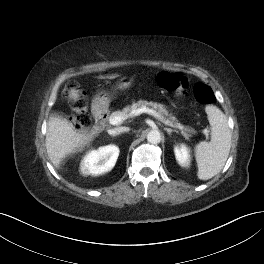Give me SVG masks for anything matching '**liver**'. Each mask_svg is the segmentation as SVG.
Listing matches in <instances>:
<instances>
[{
    "instance_id": "liver-1",
    "label": "liver",
    "mask_w": 264,
    "mask_h": 264,
    "mask_svg": "<svg viewBox=\"0 0 264 264\" xmlns=\"http://www.w3.org/2000/svg\"><path fill=\"white\" fill-rule=\"evenodd\" d=\"M117 76L111 75L106 78L114 79ZM104 78L100 77V79ZM94 138L93 134L77 132L66 119L56 116L49 117L45 146L49 159L56 168H59L64 158L82 151Z\"/></svg>"
}]
</instances>
